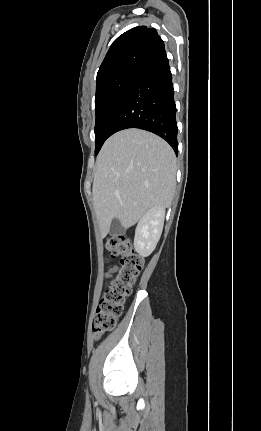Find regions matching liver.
<instances>
[{
	"label": "liver",
	"instance_id": "liver-1",
	"mask_svg": "<svg viewBox=\"0 0 261 431\" xmlns=\"http://www.w3.org/2000/svg\"><path fill=\"white\" fill-rule=\"evenodd\" d=\"M175 182V153L162 138L135 128L109 137L97 156L92 187L101 236L113 219L127 229L148 210L167 208Z\"/></svg>",
	"mask_w": 261,
	"mask_h": 431
}]
</instances>
